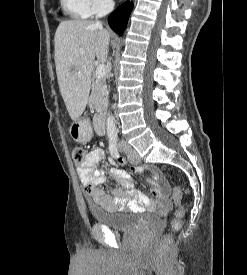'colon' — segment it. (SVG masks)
Segmentation results:
<instances>
[{"instance_id":"obj_1","label":"colon","mask_w":247,"mask_h":275,"mask_svg":"<svg viewBox=\"0 0 247 275\" xmlns=\"http://www.w3.org/2000/svg\"><path fill=\"white\" fill-rule=\"evenodd\" d=\"M72 157H73V160L77 164H80L86 157V152H85L84 148L79 147V146L75 147L72 152ZM88 191H90V189H88ZM181 196H182L181 189L178 187L174 188L173 200L178 205V207L175 211V216L170 223V232L179 231L182 227V220L185 215V210L180 205ZM170 243H171V237H170V235H167L164 237V239L162 241V247L167 248L170 245Z\"/></svg>"}]
</instances>
